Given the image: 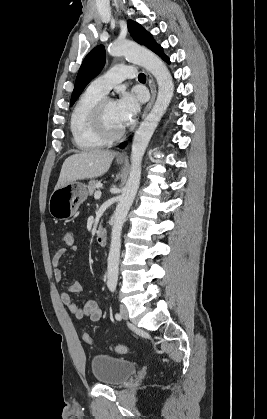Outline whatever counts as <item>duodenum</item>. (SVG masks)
Here are the masks:
<instances>
[{
  "mask_svg": "<svg viewBox=\"0 0 267 419\" xmlns=\"http://www.w3.org/2000/svg\"><path fill=\"white\" fill-rule=\"evenodd\" d=\"M96 242L100 246H104L107 242V232L105 229H99L96 232Z\"/></svg>",
  "mask_w": 267,
  "mask_h": 419,
  "instance_id": "410a0bca",
  "label": "duodenum"
}]
</instances>
